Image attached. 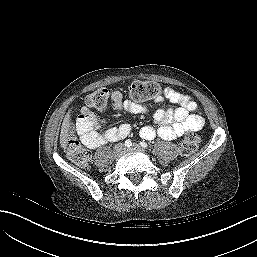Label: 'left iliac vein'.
Wrapping results in <instances>:
<instances>
[{"label":"left iliac vein","instance_id":"obj_1","mask_svg":"<svg viewBox=\"0 0 257 257\" xmlns=\"http://www.w3.org/2000/svg\"><path fill=\"white\" fill-rule=\"evenodd\" d=\"M125 150H139V151H142V149L137 145V144H134L132 147H129V148H126Z\"/></svg>","mask_w":257,"mask_h":257}]
</instances>
